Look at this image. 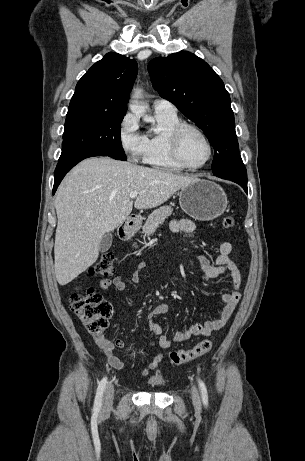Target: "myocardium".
<instances>
[{
    "instance_id": "1",
    "label": "myocardium",
    "mask_w": 305,
    "mask_h": 461,
    "mask_svg": "<svg viewBox=\"0 0 305 461\" xmlns=\"http://www.w3.org/2000/svg\"><path fill=\"white\" fill-rule=\"evenodd\" d=\"M188 130H191L197 133L202 138V140L204 141L208 149V154H207L206 159L197 166H191L187 164L181 155V151H180L181 139H182L183 134ZM168 144H169V150H170L173 160L182 168L190 170V171H196V170H199L205 167L209 163L213 155V147L207 135L202 131V129L190 123L182 122L178 124L171 131Z\"/></svg>"
}]
</instances>
